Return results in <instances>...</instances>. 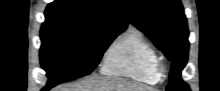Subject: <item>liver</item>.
Here are the masks:
<instances>
[{
  "label": "liver",
  "instance_id": "obj_1",
  "mask_svg": "<svg viewBox=\"0 0 220 91\" xmlns=\"http://www.w3.org/2000/svg\"><path fill=\"white\" fill-rule=\"evenodd\" d=\"M54 91H152L151 88L114 77L93 76L87 80L67 86H61Z\"/></svg>",
  "mask_w": 220,
  "mask_h": 91
}]
</instances>
